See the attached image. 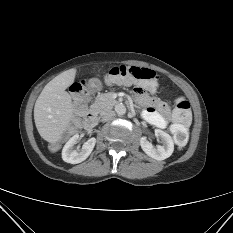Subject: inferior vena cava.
<instances>
[{
    "label": "inferior vena cava",
    "instance_id": "obj_1",
    "mask_svg": "<svg viewBox=\"0 0 233 233\" xmlns=\"http://www.w3.org/2000/svg\"><path fill=\"white\" fill-rule=\"evenodd\" d=\"M114 116H115V112L112 111V110H108V111H106V112L102 115V119H101V120H102L103 122H106V121L112 119Z\"/></svg>",
    "mask_w": 233,
    "mask_h": 233
}]
</instances>
